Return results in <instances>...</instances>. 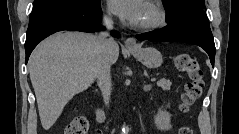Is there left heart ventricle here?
I'll list each match as a JSON object with an SVG mask.
<instances>
[{
	"label": "left heart ventricle",
	"mask_w": 239,
	"mask_h": 134,
	"mask_svg": "<svg viewBox=\"0 0 239 134\" xmlns=\"http://www.w3.org/2000/svg\"><path fill=\"white\" fill-rule=\"evenodd\" d=\"M151 18H152V12L147 7V5H145L143 16H142L141 21L139 22V24H143V23L149 21Z\"/></svg>",
	"instance_id": "obj_1"
}]
</instances>
